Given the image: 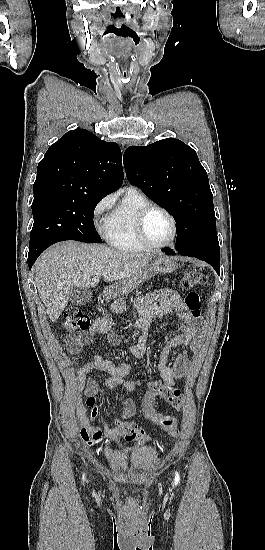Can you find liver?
Returning a JSON list of instances; mask_svg holds the SVG:
<instances>
[{"instance_id":"6515ba94","label":"liver","mask_w":265,"mask_h":550,"mask_svg":"<svg viewBox=\"0 0 265 550\" xmlns=\"http://www.w3.org/2000/svg\"><path fill=\"white\" fill-rule=\"evenodd\" d=\"M151 258V254H128L101 244L65 241L38 258L35 283L50 320L56 322L72 290L97 286L104 272V281H120L117 292L126 290Z\"/></svg>"}]
</instances>
